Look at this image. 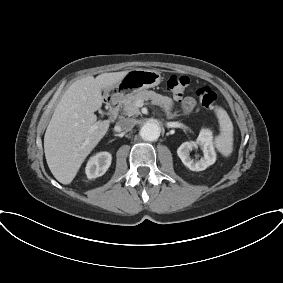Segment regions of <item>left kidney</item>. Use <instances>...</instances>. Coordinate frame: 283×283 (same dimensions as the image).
I'll use <instances>...</instances> for the list:
<instances>
[{
  "mask_svg": "<svg viewBox=\"0 0 283 283\" xmlns=\"http://www.w3.org/2000/svg\"><path fill=\"white\" fill-rule=\"evenodd\" d=\"M200 147L204 156L197 162L190 157L193 148ZM177 154L182 163L192 171H203L216 161V152L212 141V132L202 129L196 141L184 142L177 149Z\"/></svg>",
  "mask_w": 283,
  "mask_h": 283,
  "instance_id": "left-kidney-1",
  "label": "left kidney"
}]
</instances>
